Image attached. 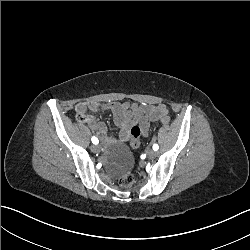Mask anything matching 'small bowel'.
<instances>
[{
	"instance_id": "obj_1",
	"label": "small bowel",
	"mask_w": 250,
	"mask_h": 250,
	"mask_svg": "<svg viewBox=\"0 0 250 250\" xmlns=\"http://www.w3.org/2000/svg\"><path fill=\"white\" fill-rule=\"evenodd\" d=\"M159 105L165 106L163 104ZM150 106L151 105H130L129 103L101 104L98 102H79L75 105V110L78 114H85L88 110L95 112L110 111L113 114L114 123L119 129L117 139L108 133L107 125L104 122L92 120L90 126L101 141L107 144H113L117 141H128L130 139L131 128L134 126H139L142 129L141 135L146 136L148 134L150 123L157 121L155 118L148 116Z\"/></svg>"
}]
</instances>
